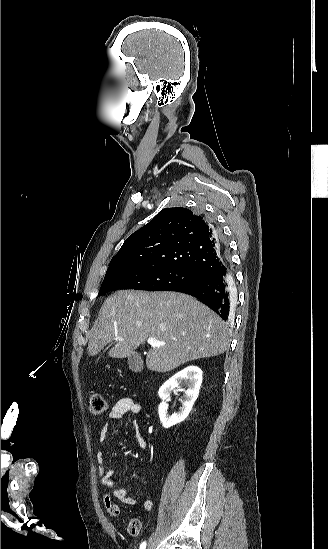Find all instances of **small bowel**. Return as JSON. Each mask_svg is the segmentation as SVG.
<instances>
[{
    "label": "small bowel",
    "mask_w": 328,
    "mask_h": 549,
    "mask_svg": "<svg viewBox=\"0 0 328 549\" xmlns=\"http://www.w3.org/2000/svg\"><path fill=\"white\" fill-rule=\"evenodd\" d=\"M140 410V404L134 401L132 398L124 397L119 399L109 412L107 424L101 429L99 433V442H103L108 437L110 432V425L113 421L121 419L127 414H137L140 412ZM134 426L139 447L142 450H145V439L140 433L138 425L135 423ZM96 460L98 463V474L101 477V484L106 488L112 489L113 497L121 501L123 504L135 505L137 503V500L130 496L129 489L115 487V483L113 480L114 472L112 469L108 468L105 465L104 455L101 451H98L96 453ZM152 505L153 503L151 500H146L143 506L145 510H150L152 508Z\"/></svg>",
    "instance_id": "c3829d8e"
}]
</instances>
